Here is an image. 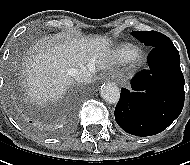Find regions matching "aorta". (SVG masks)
I'll return each instance as SVG.
<instances>
[{
  "instance_id": "1",
  "label": "aorta",
  "mask_w": 190,
  "mask_h": 165,
  "mask_svg": "<svg viewBox=\"0 0 190 165\" xmlns=\"http://www.w3.org/2000/svg\"><path fill=\"white\" fill-rule=\"evenodd\" d=\"M100 95L105 101L115 104L119 101L120 90L117 85L112 82H108L101 86Z\"/></svg>"
}]
</instances>
